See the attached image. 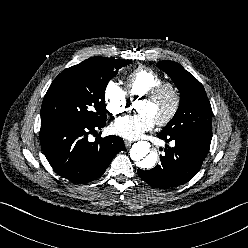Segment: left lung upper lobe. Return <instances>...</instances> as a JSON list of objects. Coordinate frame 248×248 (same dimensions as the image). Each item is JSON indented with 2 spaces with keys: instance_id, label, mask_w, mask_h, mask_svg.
<instances>
[{
  "instance_id": "5c2ea615",
  "label": "left lung upper lobe",
  "mask_w": 248,
  "mask_h": 248,
  "mask_svg": "<svg viewBox=\"0 0 248 248\" xmlns=\"http://www.w3.org/2000/svg\"><path fill=\"white\" fill-rule=\"evenodd\" d=\"M156 66L170 76L181 92L178 110L162 132L211 140L212 109L202 84L177 62L165 60Z\"/></svg>"
}]
</instances>
